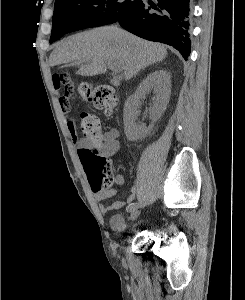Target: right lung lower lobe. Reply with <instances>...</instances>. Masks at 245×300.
Segmentation results:
<instances>
[{
	"instance_id": "right-lung-lower-lobe-1",
	"label": "right lung lower lobe",
	"mask_w": 245,
	"mask_h": 300,
	"mask_svg": "<svg viewBox=\"0 0 245 300\" xmlns=\"http://www.w3.org/2000/svg\"><path fill=\"white\" fill-rule=\"evenodd\" d=\"M117 23L139 37L173 46L185 60L189 56L190 0H156L155 3L140 0ZM55 28L59 32V38L66 33L84 29L82 25L63 19L56 22Z\"/></svg>"
}]
</instances>
